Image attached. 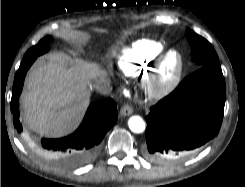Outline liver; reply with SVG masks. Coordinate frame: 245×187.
Here are the masks:
<instances>
[{
  "label": "liver",
  "instance_id": "liver-1",
  "mask_svg": "<svg viewBox=\"0 0 245 187\" xmlns=\"http://www.w3.org/2000/svg\"><path fill=\"white\" fill-rule=\"evenodd\" d=\"M106 76L98 64L65 54L39 59L26 78L21 97L23 123L44 136L69 133L89 105L91 81L106 80Z\"/></svg>",
  "mask_w": 245,
  "mask_h": 187
}]
</instances>
